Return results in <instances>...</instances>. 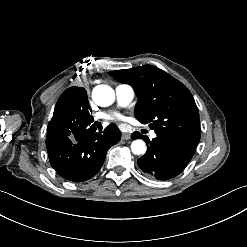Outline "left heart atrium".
<instances>
[{
	"label": "left heart atrium",
	"mask_w": 247,
	"mask_h": 247,
	"mask_svg": "<svg viewBox=\"0 0 247 247\" xmlns=\"http://www.w3.org/2000/svg\"><path fill=\"white\" fill-rule=\"evenodd\" d=\"M103 118L107 121H123L125 119L124 116L118 112L104 114Z\"/></svg>",
	"instance_id": "1"
}]
</instances>
